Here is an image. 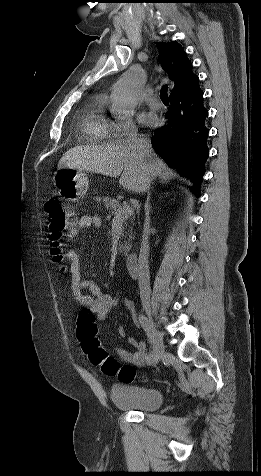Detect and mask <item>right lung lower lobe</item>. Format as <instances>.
Returning a JSON list of instances; mask_svg holds the SVG:
<instances>
[{
    "label": "right lung lower lobe",
    "mask_w": 261,
    "mask_h": 476,
    "mask_svg": "<svg viewBox=\"0 0 261 476\" xmlns=\"http://www.w3.org/2000/svg\"><path fill=\"white\" fill-rule=\"evenodd\" d=\"M170 101L165 115L167 122L155 130L151 143L167 164L193 183L192 190L197 194L200 193L204 165L209 155L208 112L198 77L170 95Z\"/></svg>",
    "instance_id": "98d812e1"
}]
</instances>
